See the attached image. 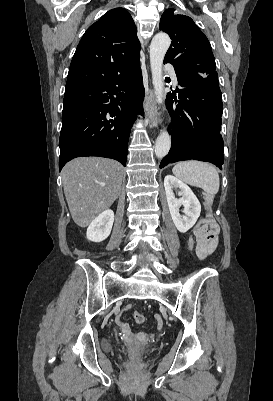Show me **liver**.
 <instances>
[{
  "label": "liver",
  "instance_id": "6515ba94",
  "mask_svg": "<svg viewBox=\"0 0 273 401\" xmlns=\"http://www.w3.org/2000/svg\"><path fill=\"white\" fill-rule=\"evenodd\" d=\"M122 178L123 166L112 158L80 156L65 164L62 170L64 194L78 227H88L113 205Z\"/></svg>",
  "mask_w": 273,
  "mask_h": 401
}]
</instances>
